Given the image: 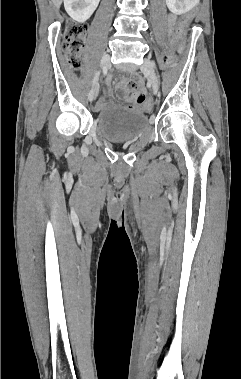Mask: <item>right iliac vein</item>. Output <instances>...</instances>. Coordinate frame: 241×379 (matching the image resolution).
<instances>
[{"instance_id":"right-iliac-vein-1","label":"right iliac vein","mask_w":241,"mask_h":379,"mask_svg":"<svg viewBox=\"0 0 241 379\" xmlns=\"http://www.w3.org/2000/svg\"><path fill=\"white\" fill-rule=\"evenodd\" d=\"M100 65L103 69H107L110 65V55L105 54L101 59ZM97 93H98V85L97 83H95L89 92V95H88L89 101H93L96 98Z\"/></svg>"}]
</instances>
